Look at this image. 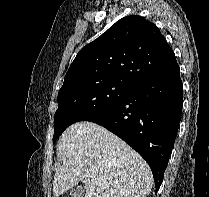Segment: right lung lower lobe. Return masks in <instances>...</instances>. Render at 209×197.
<instances>
[{
    "label": "right lung lower lobe",
    "mask_w": 209,
    "mask_h": 197,
    "mask_svg": "<svg viewBox=\"0 0 209 197\" xmlns=\"http://www.w3.org/2000/svg\"><path fill=\"white\" fill-rule=\"evenodd\" d=\"M182 105L183 85L176 61L85 121L105 127L135 149L149 164L157 191L176 138Z\"/></svg>",
    "instance_id": "1"
}]
</instances>
